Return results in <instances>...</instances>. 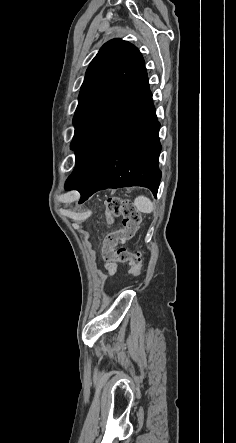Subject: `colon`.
<instances>
[{"mask_svg": "<svg viewBox=\"0 0 236 443\" xmlns=\"http://www.w3.org/2000/svg\"><path fill=\"white\" fill-rule=\"evenodd\" d=\"M107 221L113 224L119 216L123 217L122 229L106 235L103 243L102 255L106 262L128 263L130 273L138 276L141 271V255L132 253L121 243L131 239L140 224V213L131 200L110 198L106 208Z\"/></svg>", "mask_w": 236, "mask_h": 443, "instance_id": "5ec220e1", "label": "colon"}]
</instances>
